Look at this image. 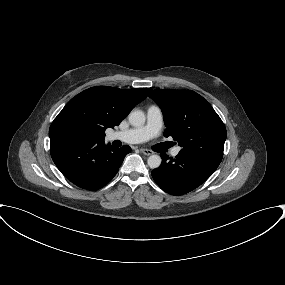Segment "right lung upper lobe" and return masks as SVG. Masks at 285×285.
Masks as SVG:
<instances>
[{"mask_svg": "<svg viewBox=\"0 0 285 285\" xmlns=\"http://www.w3.org/2000/svg\"><path fill=\"white\" fill-rule=\"evenodd\" d=\"M151 88L121 90L96 86L72 98L49 129L50 139L74 137L92 143L104 142L105 130L114 128L143 101Z\"/></svg>", "mask_w": 285, "mask_h": 285, "instance_id": "obj_1", "label": "right lung upper lobe"}]
</instances>
